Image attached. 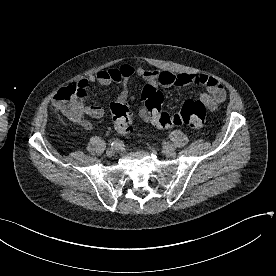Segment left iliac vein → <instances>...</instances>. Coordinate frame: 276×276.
Returning a JSON list of instances; mask_svg holds the SVG:
<instances>
[{"mask_svg": "<svg viewBox=\"0 0 276 276\" xmlns=\"http://www.w3.org/2000/svg\"><path fill=\"white\" fill-rule=\"evenodd\" d=\"M164 154H166L168 157H174L176 155V152L174 148L165 149L163 150Z\"/></svg>", "mask_w": 276, "mask_h": 276, "instance_id": "obj_1", "label": "left iliac vein"}]
</instances>
